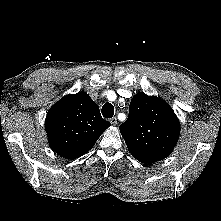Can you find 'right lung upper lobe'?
<instances>
[{
    "mask_svg": "<svg viewBox=\"0 0 221 221\" xmlns=\"http://www.w3.org/2000/svg\"><path fill=\"white\" fill-rule=\"evenodd\" d=\"M110 125L85 92L63 97L50 108L45 120L50 147L67 159L87 153Z\"/></svg>",
    "mask_w": 221,
    "mask_h": 221,
    "instance_id": "1",
    "label": "right lung upper lobe"
}]
</instances>
